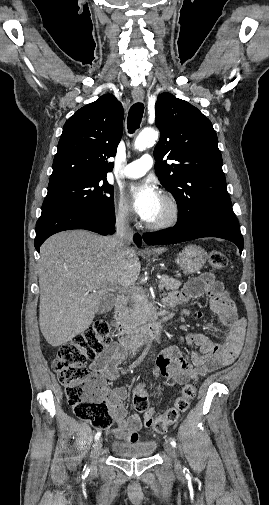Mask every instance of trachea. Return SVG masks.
Returning a JSON list of instances; mask_svg holds the SVG:
<instances>
[{
    "mask_svg": "<svg viewBox=\"0 0 269 505\" xmlns=\"http://www.w3.org/2000/svg\"><path fill=\"white\" fill-rule=\"evenodd\" d=\"M144 113V105L140 102L131 106L127 118L129 133H134L139 127Z\"/></svg>",
    "mask_w": 269,
    "mask_h": 505,
    "instance_id": "trachea-1",
    "label": "trachea"
}]
</instances>
